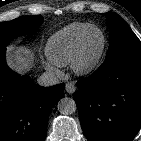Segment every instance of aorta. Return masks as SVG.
I'll return each mask as SVG.
<instances>
[{
  "instance_id": "762f6f07",
  "label": "aorta",
  "mask_w": 141,
  "mask_h": 141,
  "mask_svg": "<svg viewBox=\"0 0 141 141\" xmlns=\"http://www.w3.org/2000/svg\"><path fill=\"white\" fill-rule=\"evenodd\" d=\"M58 111L64 115H71L77 110L76 103L74 99L69 97H64L59 100L57 104Z\"/></svg>"
}]
</instances>
